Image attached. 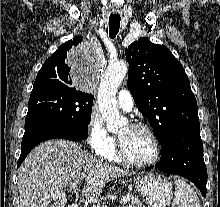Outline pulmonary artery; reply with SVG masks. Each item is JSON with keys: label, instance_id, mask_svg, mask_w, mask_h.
Listing matches in <instances>:
<instances>
[{"label": "pulmonary artery", "instance_id": "e3ab8cb5", "mask_svg": "<svg viewBox=\"0 0 220 207\" xmlns=\"http://www.w3.org/2000/svg\"><path fill=\"white\" fill-rule=\"evenodd\" d=\"M118 104L119 106L125 110L130 111L134 106V101L130 92L126 89H122L119 91L118 96Z\"/></svg>", "mask_w": 220, "mask_h": 207}]
</instances>
